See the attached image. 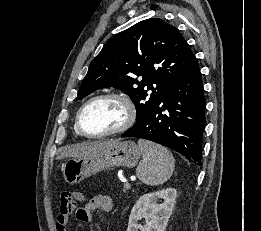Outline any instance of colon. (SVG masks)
Wrapping results in <instances>:
<instances>
[{
  "label": "colon",
  "instance_id": "colon-1",
  "mask_svg": "<svg viewBox=\"0 0 261 231\" xmlns=\"http://www.w3.org/2000/svg\"><path fill=\"white\" fill-rule=\"evenodd\" d=\"M79 201V193L63 192L60 196L59 214L66 217L71 216Z\"/></svg>",
  "mask_w": 261,
  "mask_h": 231
}]
</instances>
